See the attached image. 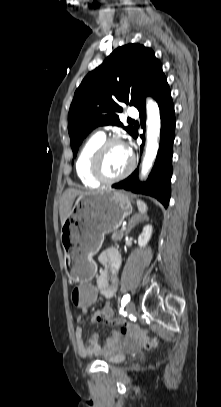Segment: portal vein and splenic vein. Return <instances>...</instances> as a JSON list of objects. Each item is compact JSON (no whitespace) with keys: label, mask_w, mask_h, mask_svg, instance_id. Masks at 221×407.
I'll list each match as a JSON object with an SVG mask.
<instances>
[{"label":"portal vein and splenic vein","mask_w":221,"mask_h":407,"mask_svg":"<svg viewBox=\"0 0 221 407\" xmlns=\"http://www.w3.org/2000/svg\"><path fill=\"white\" fill-rule=\"evenodd\" d=\"M121 230H123V231L126 230V226L123 225L122 228H121Z\"/></svg>","instance_id":"18ae733b"}]
</instances>
